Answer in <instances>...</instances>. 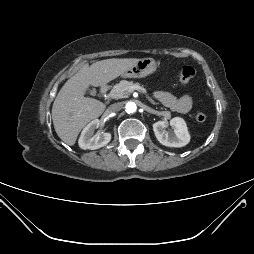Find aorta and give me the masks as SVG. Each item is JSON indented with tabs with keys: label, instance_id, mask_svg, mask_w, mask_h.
Returning <instances> with one entry per match:
<instances>
[{
	"label": "aorta",
	"instance_id": "aorta-1",
	"mask_svg": "<svg viewBox=\"0 0 254 254\" xmlns=\"http://www.w3.org/2000/svg\"><path fill=\"white\" fill-rule=\"evenodd\" d=\"M126 112L128 113V114H131V113H134L135 111H136V109H137V106H136V104L135 103H133V102H128L127 104H126Z\"/></svg>",
	"mask_w": 254,
	"mask_h": 254
}]
</instances>
